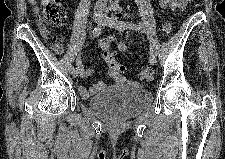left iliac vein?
Wrapping results in <instances>:
<instances>
[{
  "mask_svg": "<svg viewBox=\"0 0 225 159\" xmlns=\"http://www.w3.org/2000/svg\"><path fill=\"white\" fill-rule=\"evenodd\" d=\"M102 26H108L116 29H123V30H129L131 29L126 22H124L121 19H118L116 17H108L107 15L103 16V19L101 21ZM149 61L152 65L156 63V55L154 52H149Z\"/></svg>",
  "mask_w": 225,
  "mask_h": 159,
  "instance_id": "4c4485c4",
  "label": "left iliac vein"
}]
</instances>
